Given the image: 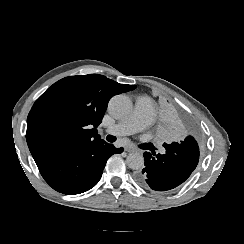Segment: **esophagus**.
I'll return each instance as SVG.
<instances>
[{
  "mask_svg": "<svg viewBox=\"0 0 244 244\" xmlns=\"http://www.w3.org/2000/svg\"><path fill=\"white\" fill-rule=\"evenodd\" d=\"M124 150H125L126 152H134V151H135L134 148H132L131 146H128V145L124 147Z\"/></svg>",
  "mask_w": 244,
  "mask_h": 244,
  "instance_id": "1",
  "label": "esophagus"
}]
</instances>
